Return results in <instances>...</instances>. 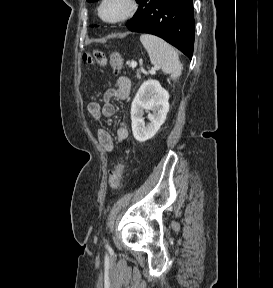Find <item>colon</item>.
<instances>
[{"mask_svg":"<svg viewBox=\"0 0 273 288\" xmlns=\"http://www.w3.org/2000/svg\"><path fill=\"white\" fill-rule=\"evenodd\" d=\"M84 60L89 63H94L99 66H103L105 64V57L100 51H93L91 53H87L84 56ZM110 64L115 70H120L123 65L122 56L118 52H113L110 57ZM125 170V164L120 162L115 166V168L110 172L108 183L109 187L112 190H118L122 183L123 174Z\"/></svg>","mask_w":273,"mask_h":288,"instance_id":"colon-1","label":"colon"}]
</instances>
